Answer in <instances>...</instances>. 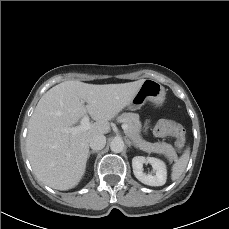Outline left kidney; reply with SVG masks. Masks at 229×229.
I'll return each instance as SVG.
<instances>
[{
  "instance_id": "left-kidney-1",
  "label": "left kidney",
  "mask_w": 229,
  "mask_h": 229,
  "mask_svg": "<svg viewBox=\"0 0 229 229\" xmlns=\"http://www.w3.org/2000/svg\"><path fill=\"white\" fill-rule=\"evenodd\" d=\"M151 164L155 174H146L143 172V164ZM132 168L135 177L142 183L149 186H162L166 183L167 169L166 164L154 157L135 156L132 159Z\"/></svg>"
}]
</instances>
